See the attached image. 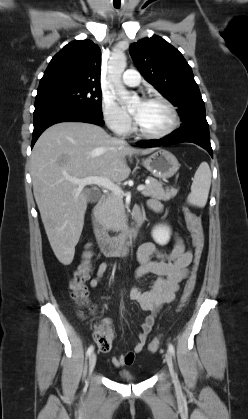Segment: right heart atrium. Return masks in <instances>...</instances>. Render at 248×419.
I'll list each match as a JSON object with an SVG mask.
<instances>
[{
  "label": "right heart atrium",
  "mask_w": 248,
  "mask_h": 419,
  "mask_svg": "<svg viewBox=\"0 0 248 419\" xmlns=\"http://www.w3.org/2000/svg\"><path fill=\"white\" fill-rule=\"evenodd\" d=\"M101 110L104 122L109 129L119 135H126L130 132L132 120L112 96L103 97Z\"/></svg>",
  "instance_id": "1"
}]
</instances>
